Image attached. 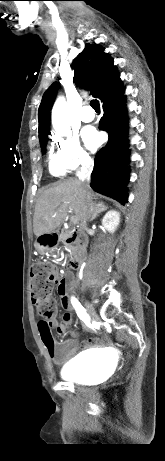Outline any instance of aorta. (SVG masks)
<instances>
[{"label": "aorta", "instance_id": "762f6f07", "mask_svg": "<svg viewBox=\"0 0 165 461\" xmlns=\"http://www.w3.org/2000/svg\"><path fill=\"white\" fill-rule=\"evenodd\" d=\"M52 126L60 135L70 132V117L68 105L63 97H58L54 103L51 114Z\"/></svg>", "mask_w": 165, "mask_h": 461}]
</instances>
